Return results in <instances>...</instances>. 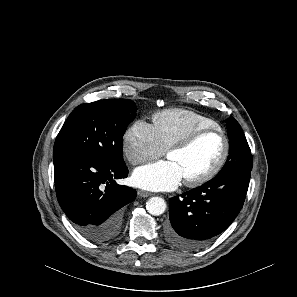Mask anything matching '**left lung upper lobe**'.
Wrapping results in <instances>:
<instances>
[{"label": "left lung upper lobe", "instance_id": "left-lung-upper-lobe-1", "mask_svg": "<svg viewBox=\"0 0 297 297\" xmlns=\"http://www.w3.org/2000/svg\"><path fill=\"white\" fill-rule=\"evenodd\" d=\"M229 138V156L218 175L250 173L252 170L253 159L251 150L244 136L239 123L230 117L226 120Z\"/></svg>", "mask_w": 297, "mask_h": 297}]
</instances>
